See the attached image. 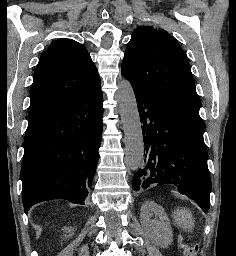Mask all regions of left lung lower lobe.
I'll return each instance as SVG.
<instances>
[{
  "instance_id": "left-lung-lower-lobe-1",
  "label": "left lung lower lobe",
  "mask_w": 236,
  "mask_h": 256,
  "mask_svg": "<svg viewBox=\"0 0 236 256\" xmlns=\"http://www.w3.org/2000/svg\"><path fill=\"white\" fill-rule=\"evenodd\" d=\"M133 90L145 143L144 166L134 175L133 189L171 184L208 211L211 179L204 121L199 113L138 88Z\"/></svg>"
}]
</instances>
